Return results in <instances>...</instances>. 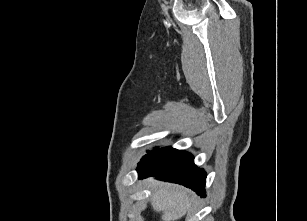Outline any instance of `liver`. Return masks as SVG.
<instances>
[{
    "label": "liver",
    "instance_id": "6515ba94",
    "mask_svg": "<svg viewBox=\"0 0 307 221\" xmlns=\"http://www.w3.org/2000/svg\"><path fill=\"white\" fill-rule=\"evenodd\" d=\"M153 189L151 204L154 211L162 212V221H177L191 208L192 198L186 189L162 183L149 181Z\"/></svg>",
    "mask_w": 307,
    "mask_h": 221
}]
</instances>
